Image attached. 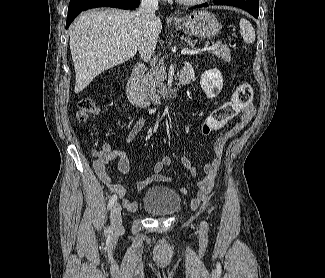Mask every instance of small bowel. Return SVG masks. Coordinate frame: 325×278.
Segmentation results:
<instances>
[{"label":"small bowel","mask_w":325,"mask_h":278,"mask_svg":"<svg viewBox=\"0 0 325 278\" xmlns=\"http://www.w3.org/2000/svg\"><path fill=\"white\" fill-rule=\"evenodd\" d=\"M253 115L254 107L249 105L243 110L242 116L235 126L227 134L219 137L215 141L213 147L214 155L211 161L204 166L205 176L198 181V197H203L211 191L223 157L225 144L235 133L242 130L251 121ZM144 124L145 116H140L136 119L126 136L125 142L127 144L131 143L136 138L144 127ZM115 160L118 161L119 172L122 175L128 174L130 167L129 158L123 151L111 149L109 145H103L101 155L94 161L93 165L95 172L109 191L115 193V195H118L123 200L124 206L129 209H134L136 204L130 202L128 192L122 186L115 183L114 178L107 172V165ZM180 161L191 175L196 176L198 174V168L193 165L188 157L182 156ZM171 163L172 158L170 156H162L158 159L153 166L152 173L136 184V190L141 191L153 182H169L171 178L164 174L163 170L171 165ZM180 190L183 194L187 193L186 188H181Z\"/></svg>","instance_id":"c3829d8e"}]
</instances>
